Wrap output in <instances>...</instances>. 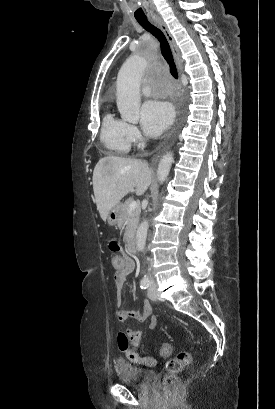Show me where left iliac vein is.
<instances>
[{
  "mask_svg": "<svg viewBox=\"0 0 275 409\" xmlns=\"http://www.w3.org/2000/svg\"><path fill=\"white\" fill-rule=\"evenodd\" d=\"M147 295H148L149 299H151V300H155L157 298V291H156V283L155 282L151 283V285H150V287L148 289Z\"/></svg>",
  "mask_w": 275,
  "mask_h": 409,
  "instance_id": "4c4485c4",
  "label": "left iliac vein"
}]
</instances>
